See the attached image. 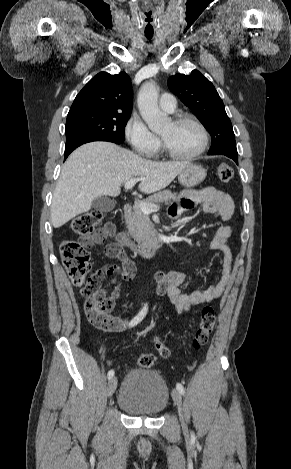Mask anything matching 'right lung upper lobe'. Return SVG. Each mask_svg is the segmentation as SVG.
Wrapping results in <instances>:
<instances>
[{
  "label": "right lung upper lobe",
  "instance_id": "1",
  "mask_svg": "<svg viewBox=\"0 0 291 469\" xmlns=\"http://www.w3.org/2000/svg\"><path fill=\"white\" fill-rule=\"evenodd\" d=\"M133 92L130 77L125 72L95 75L76 96L69 113L79 111H108L131 113Z\"/></svg>",
  "mask_w": 291,
  "mask_h": 469
}]
</instances>
